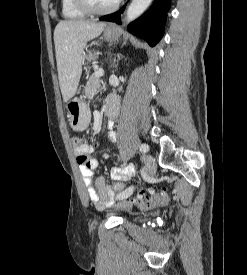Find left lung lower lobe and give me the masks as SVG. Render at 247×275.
Instances as JSON below:
<instances>
[{
    "label": "left lung lower lobe",
    "instance_id": "1",
    "mask_svg": "<svg viewBox=\"0 0 247 275\" xmlns=\"http://www.w3.org/2000/svg\"><path fill=\"white\" fill-rule=\"evenodd\" d=\"M169 7L170 0H155L153 5L141 17L128 25V31L146 40L150 46H155L163 35ZM124 9L125 6L113 14L101 17L100 20L121 24L120 15Z\"/></svg>",
    "mask_w": 247,
    "mask_h": 275
}]
</instances>
